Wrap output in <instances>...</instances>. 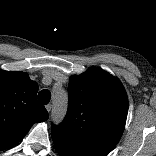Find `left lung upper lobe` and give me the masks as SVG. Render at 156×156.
Returning <instances> with one entry per match:
<instances>
[{"instance_id":"1","label":"left lung upper lobe","mask_w":156,"mask_h":156,"mask_svg":"<svg viewBox=\"0 0 156 156\" xmlns=\"http://www.w3.org/2000/svg\"><path fill=\"white\" fill-rule=\"evenodd\" d=\"M68 111L52 136L98 156H106L124 131L128 98L118 79L99 68L72 76Z\"/></svg>"}]
</instances>
